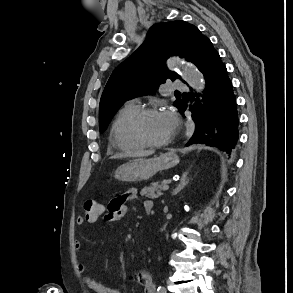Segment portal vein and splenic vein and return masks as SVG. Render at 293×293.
Listing matches in <instances>:
<instances>
[{"label": "portal vein and splenic vein", "instance_id": "portal-vein-and-splenic-vein-1", "mask_svg": "<svg viewBox=\"0 0 293 293\" xmlns=\"http://www.w3.org/2000/svg\"><path fill=\"white\" fill-rule=\"evenodd\" d=\"M169 189V185L168 184H165L163 187H162V190L164 191H167Z\"/></svg>", "mask_w": 293, "mask_h": 293}]
</instances>
